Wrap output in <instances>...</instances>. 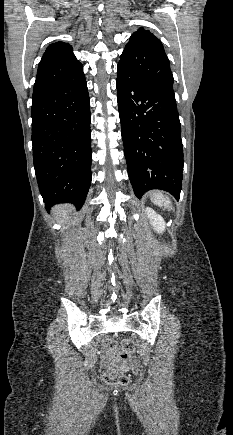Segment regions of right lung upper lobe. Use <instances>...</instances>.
Returning <instances> with one entry per match:
<instances>
[{
	"label": "right lung upper lobe",
	"instance_id": "1",
	"mask_svg": "<svg viewBox=\"0 0 233 435\" xmlns=\"http://www.w3.org/2000/svg\"><path fill=\"white\" fill-rule=\"evenodd\" d=\"M82 72L83 66L73 54L71 45L63 42L49 45L38 66L32 98L62 85Z\"/></svg>",
	"mask_w": 233,
	"mask_h": 435
}]
</instances>
